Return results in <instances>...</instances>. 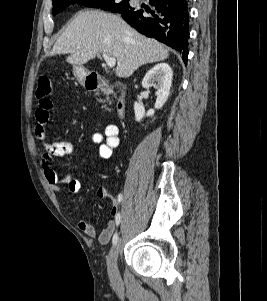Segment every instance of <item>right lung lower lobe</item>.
Masks as SVG:
<instances>
[{"mask_svg":"<svg viewBox=\"0 0 267 301\" xmlns=\"http://www.w3.org/2000/svg\"><path fill=\"white\" fill-rule=\"evenodd\" d=\"M151 6H133L120 11L138 32L157 39L182 54L187 64L189 11L187 0H150Z\"/></svg>","mask_w":267,"mask_h":301,"instance_id":"1","label":"right lung lower lobe"}]
</instances>
